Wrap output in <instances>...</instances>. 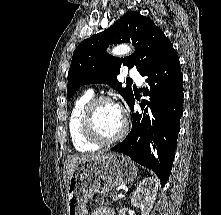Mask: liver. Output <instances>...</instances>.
Instances as JSON below:
<instances>
[{"mask_svg":"<svg viewBox=\"0 0 221 215\" xmlns=\"http://www.w3.org/2000/svg\"><path fill=\"white\" fill-rule=\"evenodd\" d=\"M104 155L103 152L96 153V154H84V155H70L67 157L65 163H64V170H63V178H64V184L67 188L69 178L73 172L74 167L83 161L89 160V159H96L100 156Z\"/></svg>","mask_w":221,"mask_h":215,"instance_id":"obj_1","label":"liver"}]
</instances>
